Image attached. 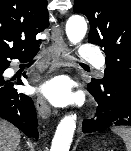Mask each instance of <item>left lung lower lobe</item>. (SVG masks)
<instances>
[{"mask_svg":"<svg viewBox=\"0 0 131 151\" xmlns=\"http://www.w3.org/2000/svg\"><path fill=\"white\" fill-rule=\"evenodd\" d=\"M98 103L95 118L83 121V132L92 133L109 127L131 126V88L119 84H88Z\"/></svg>","mask_w":131,"mask_h":151,"instance_id":"obj_1","label":"left lung lower lobe"}]
</instances>
